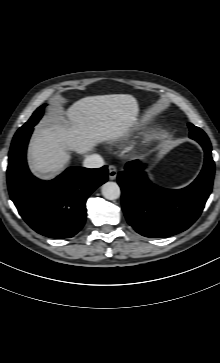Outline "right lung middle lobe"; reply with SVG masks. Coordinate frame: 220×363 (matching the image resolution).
Segmentation results:
<instances>
[{
  "instance_id": "dd1d6c3e",
  "label": "right lung middle lobe",
  "mask_w": 220,
  "mask_h": 363,
  "mask_svg": "<svg viewBox=\"0 0 220 363\" xmlns=\"http://www.w3.org/2000/svg\"><path fill=\"white\" fill-rule=\"evenodd\" d=\"M45 106L46 105H42L41 107H39L33 113L32 117L16 132L15 136L21 135L23 132L36 125L43 115V109Z\"/></svg>"
}]
</instances>
